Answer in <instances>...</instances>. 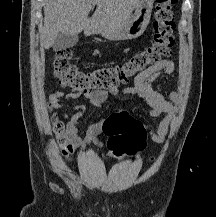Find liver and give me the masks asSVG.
<instances>
[{"label": "liver", "instance_id": "6515ba94", "mask_svg": "<svg viewBox=\"0 0 216 217\" xmlns=\"http://www.w3.org/2000/svg\"><path fill=\"white\" fill-rule=\"evenodd\" d=\"M139 0H44L41 47L53 46L58 34H105L118 28L136 8ZM97 8L88 17L93 6ZM104 36V35H103Z\"/></svg>", "mask_w": 216, "mask_h": 217}]
</instances>
